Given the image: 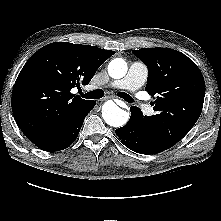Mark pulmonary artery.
<instances>
[{"label":"pulmonary artery","instance_id":"obj_1","mask_svg":"<svg viewBox=\"0 0 221 221\" xmlns=\"http://www.w3.org/2000/svg\"><path fill=\"white\" fill-rule=\"evenodd\" d=\"M147 77V67L141 62H134L130 65L127 74L122 79L111 82L108 84V87L136 91L146 82ZM142 109L148 115L153 114V110L149 105H143Z\"/></svg>","mask_w":221,"mask_h":221}]
</instances>
